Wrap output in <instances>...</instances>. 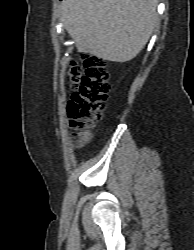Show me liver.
Returning a JSON list of instances; mask_svg holds the SVG:
<instances>
[{
	"label": "liver",
	"mask_w": 194,
	"mask_h": 250,
	"mask_svg": "<svg viewBox=\"0 0 194 250\" xmlns=\"http://www.w3.org/2000/svg\"><path fill=\"white\" fill-rule=\"evenodd\" d=\"M158 0H63L62 21L81 53L127 62L148 42Z\"/></svg>",
	"instance_id": "1"
}]
</instances>
